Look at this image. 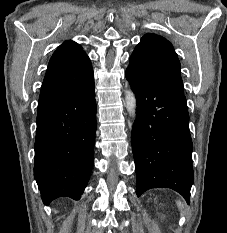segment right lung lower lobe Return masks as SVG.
<instances>
[{
    "label": "right lung lower lobe",
    "mask_w": 227,
    "mask_h": 233,
    "mask_svg": "<svg viewBox=\"0 0 227 233\" xmlns=\"http://www.w3.org/2000/svg\"><path fill=\"white\" fill-rule=\"evenodd\" d=\"M95 132L94 80L38 111L34 177L44 204L62 196L80 199L94 164Z\"/></svg>",
    "instance_id": "1"
}]
</instances>
